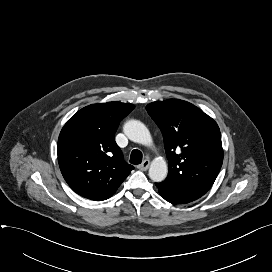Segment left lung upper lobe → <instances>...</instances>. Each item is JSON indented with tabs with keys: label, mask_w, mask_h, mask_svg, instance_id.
I'll return each mask as SVG.
<instances>
[{
	"label": "left lung upper lobe",
	"mask_w": 272,
	"mask_h": 272,
	"mask_svg": "<svg viewBox=\"0 0 272 272\" xmlns=\"http://www.w3.org/2000/svg\"><path fill=\"white\" fill-rule=\"evenodd\" d=\"M160 128L169 160L164 186L168 193H206L223 162L221 133L217 123L193 104L170 99L146 106Z\"/></svg>",
	"instance_id": "1"
}]
</instances>
